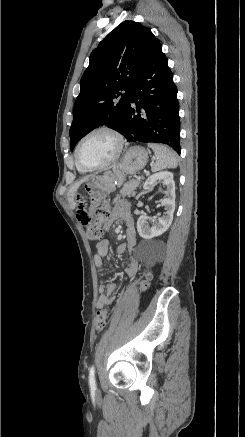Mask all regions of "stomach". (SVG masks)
I'll return each instance as SVG.
<instances>
[{"instance_id": "1", "label": "stomach", "mask_w": 245, "mask_h": 437, "mask_svg": "<svg viewBox=\"0 0 245 437\" xmlns=\"http://www.w3.org/2000/svg\"><path fill=\"white\" fill-rule=\"evenodd\" d=\"M148 162V153L141 146L130 147L122 161L103 175L93 174L83 183V190L90 199L91 207H98L117 186L123 184L127 174L142 170Z\"/></svg>"}]
</instances>
